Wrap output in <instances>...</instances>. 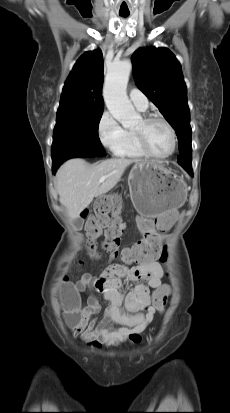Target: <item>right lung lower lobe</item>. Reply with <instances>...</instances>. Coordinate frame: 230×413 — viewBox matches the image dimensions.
<instances>
[{"instance_id":"obj_1","label":"right lung lower lobe","mask_w":230,"mask_h":413,"mask_svg":"<svg viewBox=\"0 0 230 413\" xmlns=\"http://www.w3.org/2000/svg\"><path fill=\"white\" fill-rule=\"evenodd\" d=\"M61 164H53V167H52V170H53V173H55L56 172V170H57V168L60 166Z\"/></svg>"}]
</instances>
